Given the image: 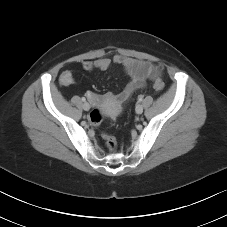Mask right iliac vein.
<instances>
[{"instance_id":"63e3f726","label":"right iliac vein","mask_w":227,"mask_h":227,"mask_svg":"<svg viewBox=\"0 0 227 227\" xmlns=\"http://www.w3.org/2000/svg\"><path fill=\"white\" fill-rule=\"evenodd\" d=\"M83 109H84L85 111H88V110L90 109V105H89L87 102H85V103L83 104Z\"/></svg>"}]
</instances>
